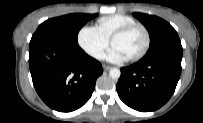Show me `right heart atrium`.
<instances>
[{
    "label": "right heart atrium",
    "mask_w": 203,
    "mask_h": 123,
    "mask_svg": "<svg viewBox=\"0 0 203 123\" xmlns=\"http://www.w3.org/2000/svg\"><path fill=\"white\" fill-rule=\"evenodd\" d=\"M78 45L92 58L101 59L109 47V40L97 27L85 25L77 34Z\"/></svg>",
    "instance_id": "right-heart-atrium-1"
}]
</instances>
